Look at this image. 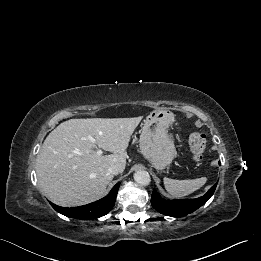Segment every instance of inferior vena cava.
<instances>
[{
  "instance_id": "inferior-vena-cava-1",
  "label": "inferior vena cava",
  "mask_w": 261,
  "mask_h": 261,
  "mask_svg": "<svg viewBox=\"0 0 261 261\" xmlns=\"http://www.w3.org/2000/svg\"><path fill=\"white\" fill-rule=\"evenodd\" d=\"M107 171L110 175H117L119 173H122L123 170L119 165H111Z\"/></svg>"
}]
</instances>
